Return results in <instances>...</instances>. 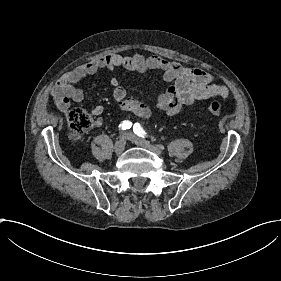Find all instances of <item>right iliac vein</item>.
Instances as JSON below:
<instances>
[{
	"label": "right iliac vein",
	"mask_w": 281,
	"mask_h": 281,
	"mask_svg": "<svg viewBox=\"0 0 281 281\" xmlns=\"http://www.w3.org/2000/svg\"><path fill=\"white\" fill-rule=\"evenodd\" d=\"M125 145V140L123 139V138H121V140L119 141V142H116V144H115V153L116 154H121L122 152H123V150H124V146Z\"/></svg>",
	"instance_id": "obj_1"
}]
</instances>
